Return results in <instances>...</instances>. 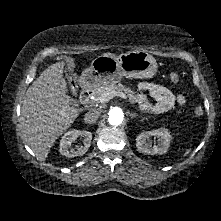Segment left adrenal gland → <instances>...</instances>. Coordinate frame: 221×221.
<instances>
[{"mask_svg": "<svg viewBox=\"0 0 221 221\" xmlns=\"http://www.w3.org/2000/svg\"><path fill=\"white\" fill-rule=\"evenodd\" d=\"M129 114V116L131 117V119H133V118H135V117H138L139 115L138 114H136V113H128Z\"/></svg>", "mask_w": 221, "mask_h": 221, "instance_id": "obj_1", "label": "left adrenal gland"}]
</instances>
